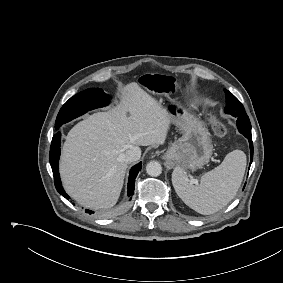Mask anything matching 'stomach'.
Listing matches in <instances>:
<instances>
[{"label": "stomach", "instance_id": "1", "mask_svg": "<svg viewBox=\"0 0 283 283\" xmlns=\"http://www.w3.org/2000/svg\"><path fill=\"white\" fill-rule=\"evenodd\" d=\"M166 110L171 116V123L181 130L182 136L165 153V159L182 169L202 167L212 155L209 133L202 121L178 103H171Z\"/></svg>", "mask_w": 283, "mask_h": 283}]
</instances>
